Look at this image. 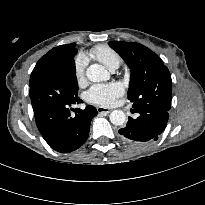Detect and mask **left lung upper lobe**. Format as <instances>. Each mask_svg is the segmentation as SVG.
I'll use <instances>...</instances> for the list:
<instances>
[{
	"label": "left lung upper lobe",
	"mask_w": 205,
	"mask_h": 205,
	"mask_svg": "<svg viewBox=\"0 0 205 205\" xmlns=\"http://www.w3.org/2000/svg\"><path fill=\"white\" fill-rule=\"evenodd\" d=\"M108 44L130 68L128 99L133 103V108H158L169 111L171 75L159 56L135 42L110 41Z\"/></svg>",
	"instance_id": "obj_1"
}]
</instances>
